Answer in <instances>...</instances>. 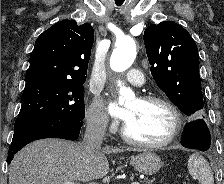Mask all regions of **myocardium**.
<instances>
[{
    "label": "myocardium",
    "mask_w": 224,
    "mask_h": 184,
    "mask_svg": "<svg viewBox=\"0 0 224 184\" xmlns=\"http://www.w3.org/2000/svg\"><path fill=\"white\" fill-rule=\"evenodd\" d=\"M139 100L145 103H159L169 109L173 117V123H172L170 133L164 140L160 142H145V141L132 137L129 134L127 125L125 123L121 130V134L123 138L131 144L145 147V148H150V149L164 148L170 145L171 143H173L176 140V138L179 136L183 127V118L179 108L168 98L159 96V95H145V96H141Z\"/></svg>",
    "instance_id": "f54148a6"
}]
</instances>
